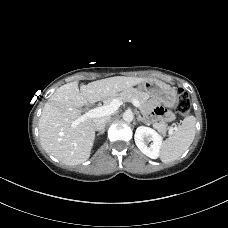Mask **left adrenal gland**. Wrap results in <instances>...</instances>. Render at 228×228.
<instances>
[{
	"instance_id": "a2214340",
	"label": "left adrenal gland",
	"mask_w": 228,
	"mask_h": 228,
	"mask_svg": "<svg viewBox=\"0 0 228 228\" xmlns=\"http://www.w3.org/2000/svg\"><path fill=\"white\" fill-rule=\"evenodd\" d=\"M137 120H138V121H141V122H143V123H145V124H148V123L145 121V119L141 117V115H140L139 113H138Z\"/></svg>"
}]
</instances>
